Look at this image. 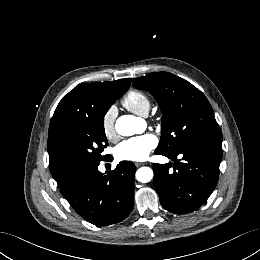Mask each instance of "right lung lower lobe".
I'll use <instances>...</instances> for the list:
<instances>
[{
    "label": "right lung lower lobe",
    "instance_id": "obj_1",
    "mask_svg": "<svg viewBox=\"0 0 260 260\" xmlns=\"http://www.w3.org/2000/svg\"><path fill=\"white\" fill-rule=\"evenodd\" d=\"M98 165L72 172L60 185L61 193L88 222L107 226L124 220L134 206L135 165L120 162L116 169L101 173Z\"/></svg>",
    "mask_w": 260,
    "mask_h": 260
}]
</instances>
